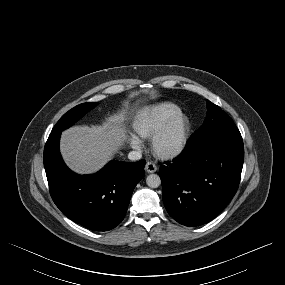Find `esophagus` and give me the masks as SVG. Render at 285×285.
<instances>
[{"label": "esophagus", "instance_id": "1", "mask_svg": "<svg viewBox=\"0 0 285 285\" xmlns=\"http://www.w3.org/2000/svg\"><path fill=\"white\" fill-rule=\"evenodd\" d=\"M145 170L148 172V173H153L157 170V166L155 163L149 161L146 163L145 165Z\"/></svg>", "mask_w": 285, "mask_h": 285}]
</instances>
